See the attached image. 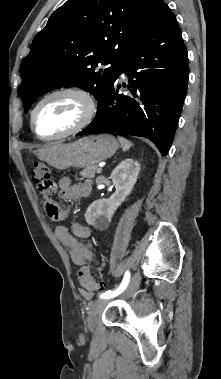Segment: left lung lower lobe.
Segmentation results:
<instances>
[{
    "label": "left lung lower lobe",
    "instance_id": "0a47b994",
    "mask_svg": "<svg viewBox=\"0 0 221 379\" xmlns=\"http://www.w3.org/2000/svg\"><path fill=\"white\" fill-rule=\"evenodd\" d=\"M129 77L128 94L117 79ZM188 84V55L175 16L165 4L151 30L125 55L107 81L94 120L76 136L119 132L170 149Z\"/></svg>",
    "mask_w": 221,
    "mask_h": 379
}]
</instances>
